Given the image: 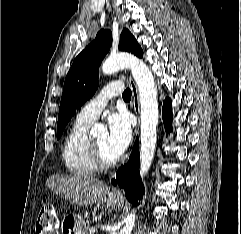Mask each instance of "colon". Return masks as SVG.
I'll return each instance as SVG.
<instances>
[{
    "instance_id": "5ec220e1",
    "label": "colon",
    "mask_w": 241,
    "mask_h": 234,
    "mask_svg": "<svg viewBox=\"0 0 241 234\" xmlns=\"http://www.w3.org/2000/svg\"><path fill=\"white\" fill-rule=\"evenodd\" d=\"M59 221L56 212L51 205L42 207L36 222L37 234H56Z\"/></svg>"
}]
</instances>
